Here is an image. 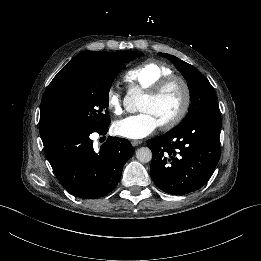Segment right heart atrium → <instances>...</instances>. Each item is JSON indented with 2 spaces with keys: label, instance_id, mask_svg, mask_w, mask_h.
Wrapping results in <instances>:
<instances>
[{
  "label": "right heart atrium",
  "instance_id": "d8ad5b80",
  "mask_svg": "<svg viewBox=\"0 0 261 261\" xmlns=\"http://www.w3.org/2000/svg\"><path fill=\"white\" fill-rule=\"evenodd\" d=\"M106 105L108 109L113 111L114 114L116 115L124 114V101L122 95L114 88L109 89L107 92Z\"/></svg>",
  "mask_w": 261,
  "mask_h": 261
}]
</instances>
